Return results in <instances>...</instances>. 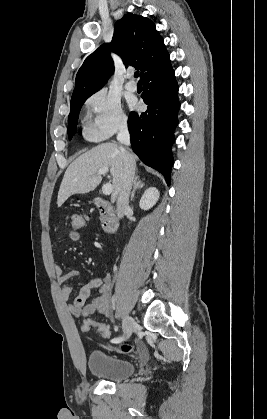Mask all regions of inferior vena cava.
<instances>
[{
    "mask_svg": "<svg viewBox=\"0 0 267 419\" xmlns=\"http://www.w3.org/2000/svg\"><path fill=\"white\" fill-rule=\"evenodd\" d=\"M117 140L120 144L129 146L130 145V135L128 132L127 124L123 122L117 134ZM123 155V176L120 182L117 198V215L119 218H122L125 211L129 206V194L132 187V183L135 175V161L132 155L124 147H120Z\"/></svg>",
    "mask_w": 267,
    "mask_h": 419,
    "instance_id": "inferior-vena-cava-1",
    "label": "inferior vena cava"
}]
</instances>
